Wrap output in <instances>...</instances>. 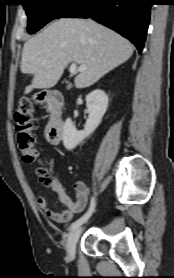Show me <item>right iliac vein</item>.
<instances>
[{
    "label": "right iliac vein",
    "instance_id": "63e3f726",
    "mask_svg": "<svg viewBox=\"0 0 174 278\" xmlns=\"http://www.w3.org/2000/svg\"><path fill=\"white\" fill-rule=\"evenodd\" d=\"M82 231V227H78L75 230H73L67 240V258L68 260L72 261L75 258V249L77 241L80 237Z\"/></svg>",
    "mask_w": 174,
    "mask_h": 278
}]
</instances>
